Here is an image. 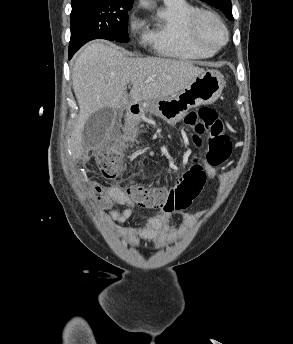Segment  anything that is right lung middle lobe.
<instances>
[{
  "mask_svg": "<svg viewBox=\"0 0 293 344\" xmlns=\"http://www.w3.org/2000/svg\"><path fill=\"white\" fill-rule=\"evenodd\" d=\"M72 5L69 57L90 40L128 42L127 21L131 3L83 0Z\"/></svg>",
  "mask_w": 293,
  "mask_h": 344,
  "instance_id": "1",
  "label": "right lung middle lobe"
}]
</instances>
